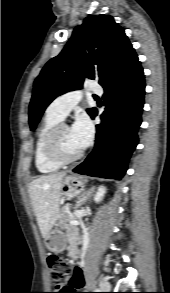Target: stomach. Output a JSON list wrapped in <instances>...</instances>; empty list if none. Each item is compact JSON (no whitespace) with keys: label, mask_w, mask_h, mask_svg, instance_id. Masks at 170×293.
<instances>
[{"label":"stomach","mask_w":170,"mask_h":293,"mask_svg":"<svg viewBox=\"0 0 170 293\" xmlns=\"http://www.w3.org/2000/svg\"><path fill=\"white\" fill-rule=\"evenodd\" d=\"M61 194L67 198L78 197L85 194V180L83 177L69 174L65 176L61 187ZM45 245L51 252L59 254L66 248V238L59 229L50 230L45 237Z\"/></svg>","instance_id":"1"}]
</instances>
